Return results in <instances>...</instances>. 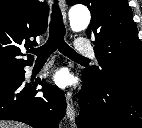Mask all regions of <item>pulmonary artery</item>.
Returning <instances> with one entry per match:
<instances>
[{
  "label": "pulmonary artery",
  "instance_id": "e3ab8cb5",
  "mask_svg": "<svg viewBox=\"0 0 142 128\" xmlns=\"http://www.w3.org/2000/svg\"><path fill=\"white\" fill-rule=\"evenodd\" d=\"M75 51L80 55L94 56V50L91 44L84 40L78 39L75 43Z\"/></svg>",
  "mask_w": 142,
  "mask_h": 128
}]
</instances>
